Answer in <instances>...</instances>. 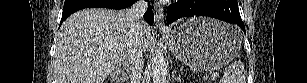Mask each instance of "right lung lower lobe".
Masks as SVG:
<instances>
[{"label":"right lung lower lobe","mask_w":307,"mask_h":83,"mask_svg":"<svg viewBox=\"0 0 307 83\" xmlns=\"http://www.w3.org/2000/svg\"><path fill=\"white\" fill-rule=\"evenodd\" d=\"M135 1L136 0H65L61 23L69 15L84 8L124 9L131 6ZM144 19L151 25L154 22V15L150 6L144 14Z\"/></svg>","instance_id":"obj_1"}]
</instances>
